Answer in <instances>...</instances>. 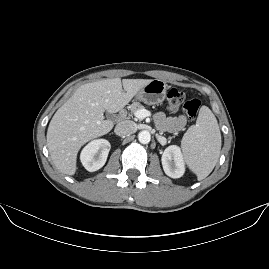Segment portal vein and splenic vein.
<instances>
[{
    "label": "portal vein and splenic vein",
    "mask_w": 269,
    "mask_h": 269,
    "mask_svg": "<svg viewBox=\"0 0 269 269\" xmlns=\"http://www.w3.org/2000/svg\"><path fill=\"white\" fill-rule=\"evenodd\" d=\"M135 117H137L138 119H144L146 117H149L151 116V112L146 110V109H140V110H137L135 113H134Z\"/></svg>",
    "instance_id": "18ae733b"
}]
</instances>
